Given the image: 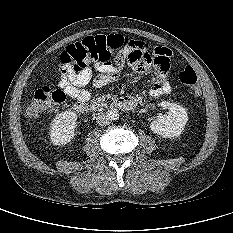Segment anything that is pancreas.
<instances>
[{
	"instance_id": "pancreas-1",
	"label": "pancreas",
	"mask_w": 233,
	"mask_h": 233,
	"mask_svg": "<svg viewBox=\"0 0 233 233\" xmlns=\"http://www.w3.org/2000/svg\"><path fill=\"white\" fill-rule=\"evenodd\" d=\"M95 102H96V103H100V101H99V100H95Z\"/></svg>"
}]
</instances>
